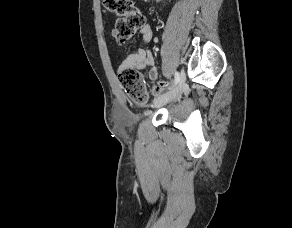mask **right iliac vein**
I'll return each mask as SVG.
<instances>
[{
  "instance_id": "obj_1",
  "label": "right iliac vein",
  "mask_w": 292,
  "mask_h": 228,
  "mask_svg": "<svg viewBox=\"0 0 292 228\" xmlns=\"http://www.w3.org/2000/svg\"><path fill=\"white\" fill-rule=\"evenodd\" d=\"M184 85H185V74L182 71L181 72V79L178 82V84L171 91H169L167 94H165L162 97L158 98L156 100L155 104L156 105H161V104L167 103L170 100L174 99L175 97H177L181 93Z\"/></svg>"
}]
</instances>
